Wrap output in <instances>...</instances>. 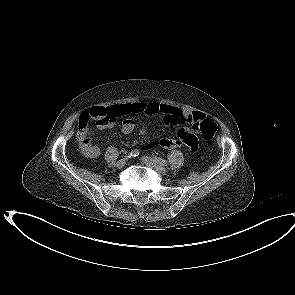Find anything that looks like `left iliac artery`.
I'll list each match as a JSON object with an SVG mask.
<instances>
[{
	"instance_id": "left-iliac-artery-1",
	"label": "left iliac artery",
	"mask_w": 295,
	"mask_h": 295,
	"mask_svg": "<svg viewBox=\"0 0 295 295\" xmlns=\"http://www.w3.org/2000/svg\"><path fill=\"white\" fill-rule=\"evenodd\" d=\"M154 159H155V161H156L157 163H159V164H161V165H167V161L164 160V159H162V158H160V157L155 156Z\"/></svg>"
}]
</instances>
